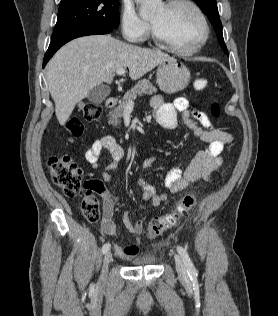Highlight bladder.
<instances>
[{
  "instance_id": "31cf9c89",
  "label": "bladder",
  "mask_w": 278,
  "mask_h": 316,
  "mask_svg": "<svg viewBox=\"0 0 278 316\" xmlns=\"http://www.w3.org/2000/svg\"><path fill=\"white\" fill-rule=\"evenodd\" d=\"M133 265L135 266H152L155 265L156 259L155 258H140V259H135L133 262Z\"/></svg>"
}]
</instances>
